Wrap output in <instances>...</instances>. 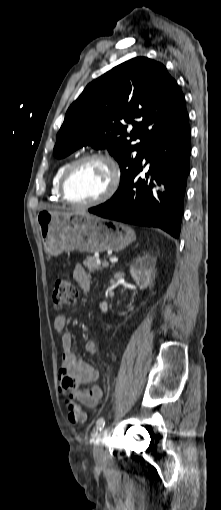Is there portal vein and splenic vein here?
Instances as JSON below:
<instances>
[{
  "label": "portal vein and splenic vein",
  "mask_w": 221,
  "mask_h": 510,
  "mask_svg": "<svg viewBox=\"0 0 221 510\" xmlns=\"http://www.w3.org/2000/svg\"><path fill=\"white\" fill-rule=\"evenodd\" d=\"M97 263H100V261H99V262H97ZM102 265H103L104 267H108V266H109V262H108V261H104V262L102 263Z\"/></svg>",
  "instance_id": "portal-vein-and-splenic-vein-1"
}]
</instances>
